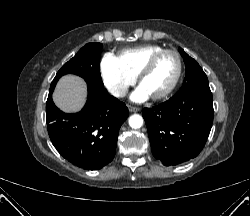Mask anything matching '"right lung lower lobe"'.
Returning <instances> with one entry per match:
<instances>
[{
  "label": "right lung lower lobe",
  "instance_id": "obj_1",
  "mask_svg": "<svg viewBox=\"0 0 250 216\" xmlns=\"http://www.w3.org/2000/svg\"><path fill=\"white\" fill-rule=\"evenodd\" d=\"M87 86V102L76 114H65L55 106L54 88L50 87L47 128L54 147L65 159L80 168L96 170L113 160L119 129L129 112L104 87Z\"/></svg>",
  "mask_w": 250,
  "mask_h": 216
}]
</instances>
